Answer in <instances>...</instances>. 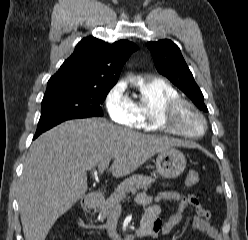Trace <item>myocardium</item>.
Wrapping results in <instances>:
<instances>
[{"instance_id": "1", "label": "myocardium", "mask_w": 248, "mask_h": 240, "mask_svg": "<svg viewBox=\"0 0 248 240\" xmlns=\"http://www.w3.org/2000/svg\"><path fill=\"white\" fill-rule=\"evenodd\" d=\"M185 108L193 111V113L201 119L203 130L200 133H190L178 126L179 115ZM157 123L164 131L187 138H199L203 136L207 130V120L205 116L191 101L180 96L167 101L160 108Z\"/></svg>"}]
</instances>
